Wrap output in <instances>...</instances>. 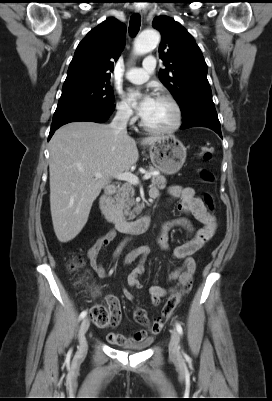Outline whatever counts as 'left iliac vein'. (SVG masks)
Instances as JSON below:
<instances>
[{
    "instance_id": "obj_1",
    "label": "left iliac vein",
    "mask_w": 272,
    "mask_h": 401,
    "mask_svg": "<svg viewBox=\"0 0 272 401\" xmlns=\"http://www.w3.org/2000/svg\"><path fill=\"white\" fill-rule=\"evenodd\" d=\"M179 341H180V337H179L178 332L175 329H172L170 343H169V353L172 358L180 357Z\"/></svg>"
}]
</instances>
